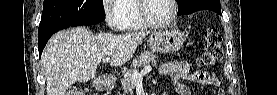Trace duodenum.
<instances>
[{"instance_id":"410a0bca","label":"duodenum","mask_w":277,"mask_h":95,"mask_svg":"<svg viewBox=\"0 0 277 95\" xmlns=\"http://www.w3.org/2000/svg\"><path fill=\"white\" fill-rule=\"evenodd\" d=\"M97 86L99 88H105L107 86L105 80L103 78H98L97 79Z\"/></svg>"}]
</instances>
